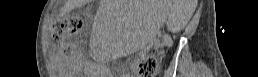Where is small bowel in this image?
Returning a JSON list of instances; mask_svg holds the SVG:
<instances>
[{"label": "small bowel", "instance_id": "1", "mask_svg": "<svg viewBox=\"0 0 258 77\" xmlns=\"http://www.w3.org/2000/svg\"><path fill=\"white\" fill-rule=\"evenodd\" d=\"M66 60H67V63L69 64L70 69H74L75 68V62L68 57L66 58Z\"/></svg>", "mask_w": 258, "mask_h": 77}]
</instances>
